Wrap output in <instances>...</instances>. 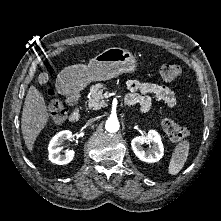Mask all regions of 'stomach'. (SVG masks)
<instances>
[{"label":"stomach","instance_id":"1","mask_svg":"<svg viewBox=\"0 0 221 221\" xmlns=\"http://www.w3.org/2000/svg\"><path fill=\"white\" fill-rule=\"evenodd\" d=\"M137 59L126 49L111 47L91 59L88 65L66 67L58 82L70 93L78 92L93 81H106L137 68Z\"/></svg>","mask_w":221,"mask_h":221}]
</instances>
